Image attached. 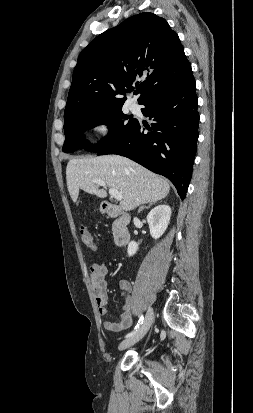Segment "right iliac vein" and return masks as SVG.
Listing matches in <instances>:
<instances>
[{
  "instance_id": "1",
  "label": "right iliac vein",
  "mask_w": 253,
  "mask_h": 413,
  "mask_svg": "<svg viewBox=\"0 0 253 413\" xmlns=\"http://www.w3.org/2000/svg\"><path fill=\"white\" fill-rule=\"evenodd\" d=\"M154 320V312L152 308H149L148 313L145 317V320L139 330L131 337H128L124 341H122L118 347L119 350H124L134 344H136L139 340H141L148 330L150 329Z\"/></svg>"
}]
</instances>
